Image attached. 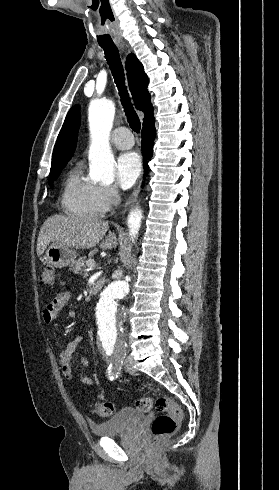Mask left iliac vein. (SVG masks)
<instances>
[{
	"label": "left iliac vein",
	"mask_w": 279,
	"mask_h": 490,
	"mask_svg": "<svg viewBox=\"0 0 279 490\" xmlns=\"http://www.w3.org/2000/svg\"><path fill=\"white\" fill-rule=\"evenodd\" d=\"M118 359H119L120 361H123V360H125V359H126V356H125V355H123V354H120V355L118 356Z\"/></svg>",
	"instance_id": "1"
}]
</instances>
